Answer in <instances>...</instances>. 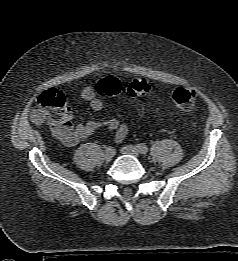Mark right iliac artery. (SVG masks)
<instances>
[{"instance_id": "1", "label": "right iliac artery", "mask_w": 238, "mask_h": 261, "mask_svg": "<svg viewBox=\"0 0 238 261\" xmlns=\"http://www.w3.org/2000/svg\"><path fill=\"white\" fill-rule=\"evenodd\" d=\"M107 151L109 152V153H112L113 151H114V148L111 146V147H108L107 148Z\"/></svg>"}]
</instances>
